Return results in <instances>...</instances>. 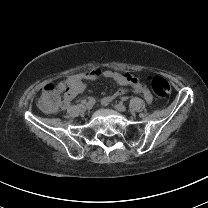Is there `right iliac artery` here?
<instances>
[{
  "instance_id": "82829eb1",
  "label": "right iliac artery",
  "mask_w": 208,
  "mask_h": 208,
  "mask_svg": "<svg viewBox=\"0 0 208 208\" xmlns=\"http://www.w3.org/2000/svg\"><path fill=\"white\" fill-rule=\"evenodd\" d=\"M89 102H92L94 104L95 103V98L89 97Z\"/></svg>"
}]
</instances>
